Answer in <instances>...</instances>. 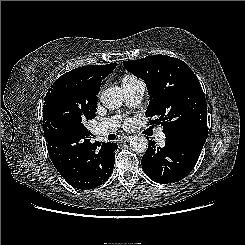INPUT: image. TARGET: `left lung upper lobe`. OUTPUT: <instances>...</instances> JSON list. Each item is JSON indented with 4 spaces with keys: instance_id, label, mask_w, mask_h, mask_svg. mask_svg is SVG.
<instances>
[{
    "instance_id": "5c2ea615",
    "label": "left lung upper lobe",
    "mask_w": 245,
    "mask_h": 245,
    "mask_svg": "<svg viewBox=\"0 0 245 245\" xmlns=\"http://www.w3.org/2000/svg\"><path fill=\"white\" fill-rule=\"evenodd\" d=\"M125 69L144 79L150 95L147 117L161 124L168 139L207 138V105L197 77L180 59L154 55L123 62Z\"/></svg>"
}]
</instances>
